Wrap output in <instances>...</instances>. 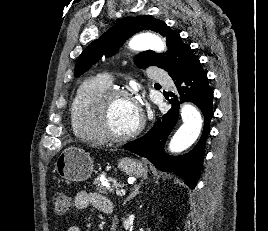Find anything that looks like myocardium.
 Instances as JSON below:
<instances>
[{
    "instance_id": "f54148a6",
    "label": "myocardium",
    "mask_w": 268,
    "mask_h": 231,
    "mask_svg": "<svg viewBox=\"0 0 268 231\" xmlns=\"http://www.w3.org/2000/svg\"><path fill=\"white\" fill-rule=\"evenodd\" d=\"M120 98H129L137 104L134 95L128 90L109 88L98 98L95 108V122L99 133L107 140L114 142H121L138 136L145 126V118L143 113H141L140 123L134 130L127 133H118L112 128L110 109L114 101Z\"/></svg>"
}]
</instances>
